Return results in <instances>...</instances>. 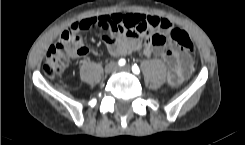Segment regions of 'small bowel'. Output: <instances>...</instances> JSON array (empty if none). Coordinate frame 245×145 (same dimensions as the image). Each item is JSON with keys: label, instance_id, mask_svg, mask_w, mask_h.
<instances>
[{"label": "small bowel", "instance_id": "c3829d8e", "mask_svg": "<svg viewBox=\"0 0 245 145\" xmlns=\"http://www.w3.org/2000/svg\"><path fill=\"white\" fill-rule=\"evenodd\" d=\"M93 20H95L94 23ZM76 25L80 30L94 28L103 30V42L113 56H126L139 49L143 42L147 43L144 49L145 55H160L170 65L167 79L172 86L180 85L193 69V58L184 48L174 43H170V47L166 48L164 44L160 45L156 42L157 32L167 31L172 26L171 22L165 18L135 12L114 13L89 18ZM147 33L149 37L143 38L142 36ZM117 34H120L121 37L118 38ZM75 45L86 47L87 52L83 56L92 53L91 48L81 40H77Z\"/></svg>", "mask_w": 245, "mask_h": 145}]
</instances>
